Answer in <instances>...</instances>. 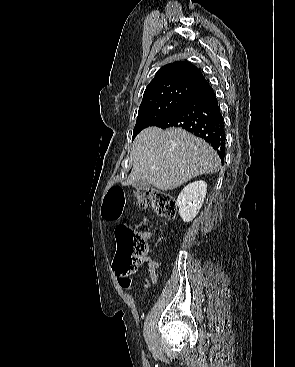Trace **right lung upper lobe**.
Here are the masks:
<instances>
[{"label":"right lung upper lobe","instance_id":"1","mask_svg":"<svg viewBox=\"0 0 295 367\" xmlns=\"http://www.w3.org/2000/svg\"><path fill=\"white\" fill-rule=\"evenodd\" d=\"M200 70L189 62H174L161 67L146 87L143 97L175 87L196 91L207 85Z\"/></svg>","mask_w":295,"mask_h":367}]
</instances>
